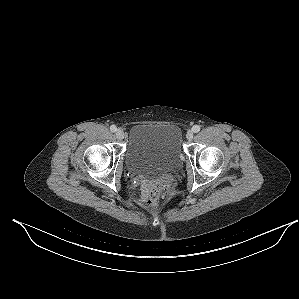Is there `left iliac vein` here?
<instances>
[{"mask_svg":"<svg viewBox=\"0 0 299 299\" xmlns=\"http://www.w3.org/2000/svg\"><path fill=\"white\" fill-rule=\"evenodd\" d=\"M193 135H194L193 131H192V130H189V131L186 133V138H187L188 140H192Z\"/></svg>","mask_w":299,"mask_h":299,"instance_id":"left-iliac-vein-1","label":"left iliac vein"}]
</instances>
